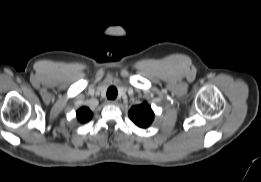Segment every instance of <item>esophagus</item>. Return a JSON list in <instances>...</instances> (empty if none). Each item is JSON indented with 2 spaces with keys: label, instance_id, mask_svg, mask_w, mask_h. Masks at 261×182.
Here are the masks:
<instances>
[{
  "label": "esophagus",
  "instance_id": "1",
  "mask_svg": "<svg viewBox=\"0 0 261 182\" xmlns=\"http://www.w3.org/2000/svg\"><path fill=\"white\" fill-rule=\"evenodd\" d=\"M108 103L111 105H116L118 102L117 100H109Z\"/></svg>",
  "mask_w": 261,
  "mask_h": 182
}]
</instances>
